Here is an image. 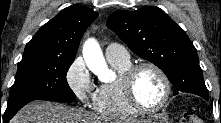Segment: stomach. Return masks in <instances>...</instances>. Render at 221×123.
Returning <instances> with one entry per match:
<instances>
[{"label":"stomach","mask_w":221,"mask_h":123,"mask_svg":"<svg viewBox=\"0 0 221 123\" xmlns=\"http://www.w3.org/2000/svg\"><path fill=\"white\" fill-rule=\"evenodd\" d=\"M144 123H163L160 115H155L152 118L145 120Z\"/></svg>","instance_id":"1"}]
</instances>
